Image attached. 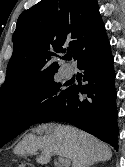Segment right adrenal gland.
<instances>
[{"instance_id": "1", "label": "right adrenal gland", "mask_w": 125, "mask_h": 167, "mask_svg": "<svg viewBox=\"0 0 125 167\" xmlns=\"http://www.w3.org/2000/svg\"><path fill=\"white\" fill-rule=\"evenodd\" d=\"M94 164V162L93 163H91L90 165H93ZM90 165L88 166V167H90Z\"/></svg>"}]
</instances>
